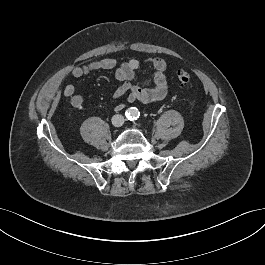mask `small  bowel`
Listing matches in <instances>:
<instances>
[{"instance_id": "c3829d8e", "label": "small bowel", "mask_w": 265, "mask_h": 265, "mask_svg": "<svg viewBox=\"0 0 265 265\" xmlns=\"http://www.w3.org/2000/svg\"><path fill=\"white\" fill-rule=\"evenodd\" d=\"M145 64L153 69V74L150 80L142 86L132 83L136 72L141 67L140 61L136 59L128 60L119 67H116V61L112 58L95 59L83 65H73L69 72L73 77L80 78L96 71L115 69V77L120 82V86L112 94L114 100L126 96L127 103L135 101L158 103L165 98L168 91L167 64L158 57L146 59ZM63 94L70 98V103L74 108L80 109L83 106L84 98L82 95L75 93L73 85H65ZM124 107V103H119L115 109L120 111Z\"/></svg>"}]
</instances>
